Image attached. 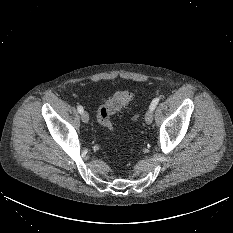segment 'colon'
I'll return each instance as SVG.
<instances>
[{
  "instance_id": "obj_1",
  "label": "colon",
  "mask_w": 233,
  "mask_h": 233,
  "mask_svg": "<svg viewBox=\"0 0 233 233\" xmlns=\"http://www.w3.org/2000/svg\"><path fill=\"white\" fill-rule=\"evenodd\" d=\"M135 100V95L129 91H120L105 99L97 110V120L107 131H113L112 116L128 108ZM137 119V116H134Z\"/></svg>"
}]
</instances>
